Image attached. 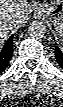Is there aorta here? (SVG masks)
Returning <instances> with one entry per match:
<instances>
[{
	"mask_svg": "<svg viewBox=\"0 0 63 107\" xmlns=\"http://www.w3.org/2000/svg\"><path fill=\"white\" fill-rule=\"evenodd\" d=\"M28 34L36 39L44 37L46 34V26L41 21H32L28 27Z\"/></svg>",
	"mask_w": 63,
	"mask_h": 107,
	"instance_id": "1",
	"label": "aorta"
}]
</instances>
